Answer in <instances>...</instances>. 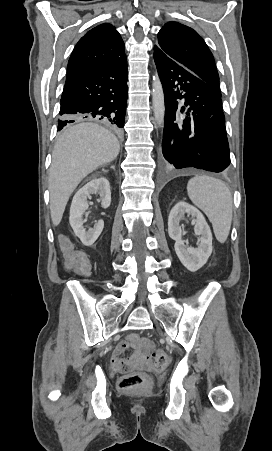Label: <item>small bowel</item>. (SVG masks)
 Instances as JSON below:
<instances>
[{"instance_id":"obj_1","label":"small bowel","mask_w":272,"mask_h":451,"mask_svg":"<svg viewBox=\"0 0 272 451\" xmlns=\"http://www.w3.org/2000/svg\"><path fill=\"white\" fill-rule=\"evenodd\" d=\"M147 341L148 340L146 338H141L137 333H129L127 334L125 340L119 342L118 344H123L125 348H141V346ZM116 347L113 350L112 356H119Z\"/></svg>"}]
</instances>
